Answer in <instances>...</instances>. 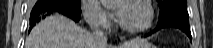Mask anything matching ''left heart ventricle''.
Segmentation results:
<instances>
[{
    "instance_id": "obj_1",
    "label": "left heart ventricle",
    "mask_w": 213,
    "mask_h": 48,
    "mask_svg": "<svg viewBox=\"0 0 213 48\" xmlns=\"http://www.w3.org/2000/svg\"><path fill=\"white\" fill-rule=\"evenodd\" d=\"M121 10V21L129 28H139L145 25L148 19V11L145 6L138 3L122 2L119 5Z\"/></svg>"
}]
</instances>
